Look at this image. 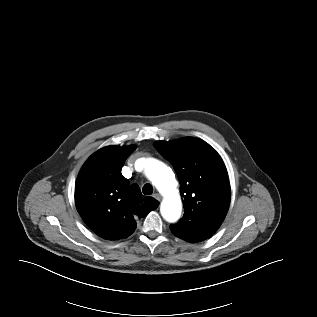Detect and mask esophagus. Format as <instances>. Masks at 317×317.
<instances>
[{"label": "esophagus", "instance_id": "obj_1", "mask_svg": "<svg viewBox=\"0 0 317 317\" xmlns=\"http://www.w3.org/2000/svg\"><path fill=\"white\" fill-rule=\"evenodd\" d=\"M153 197H154L156 200H158V201H161V199H162V197H161V195H160L159 193H155V194L153 195Z\"/></svg>", "mask_w": 317, "mask_h": 317}]
</instances>
